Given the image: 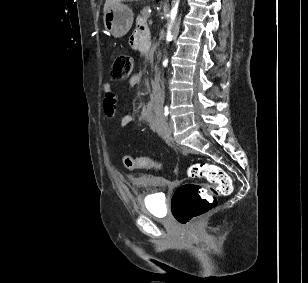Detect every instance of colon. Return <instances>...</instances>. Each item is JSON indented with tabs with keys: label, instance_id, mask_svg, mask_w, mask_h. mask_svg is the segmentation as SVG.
<instances>
[{
	"label": "colon",
	"instance_id": "1",
	"mask_svg": "<svg viewBox=\"0 0 308 283\" xmlns=\"http://www.w3.org/2000/svg\"><path fill=\"white\" fill-rule=\"evenodd\" d=\"M133 61L128 55L115 58L111 77L123 80L132 71ZM127 169L148 168L156 164L147 157L126 155L123 158ZM189 174L195 178H204L207 184L186 183L179 186L171 199L174 219L182 226H190L202 219L216 206V197L228 195L232 190V182L228 173L220 166L208 163H197L190 167Z\"/></svg>",
	"mask_w": 308,
	"mask_h": 283
}]
</instances>
